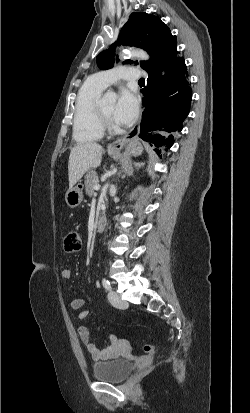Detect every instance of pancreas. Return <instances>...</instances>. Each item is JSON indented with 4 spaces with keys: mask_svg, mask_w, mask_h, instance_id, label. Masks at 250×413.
I'll list each match as a JSON object with an SVG mask.
<instances>
[{
    "mask_svg": "<svg viewBox=\"0 0 250 413\" xmlns=\"http://www.w3.org/2000/svg\"><path fill=\"white\" fill-rule=\"evenodd\" d=\"M99 183V177L94 170H90L85 175V190L88 195H92L94 186Z\"/></svg>",
    "mask_w": 250,
    "mask_h": 413,
    "instance_id": "pancreas-1",
    "label": "pancreas"
}]
</instances>
